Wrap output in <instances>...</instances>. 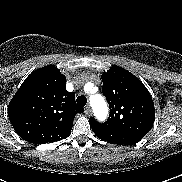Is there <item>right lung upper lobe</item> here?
I'll return each mask as SVG.
<instances>
[{
    "label": "right lung upper lobe",
    "instance_id": "obj_1",
    "mask_svg": "<svg viewBox=\"0 0 182 182\" xmlns=\"http://www.w3.org/2000/svg\"><path fill=\"white\" fill-rule=\"evenodd\" d=\"M75 94L66 90V77L53 65L33 71L8 105L16 133L25 141L44 144L67 138L77 113Z\"/></svg>",
    "mask_w": 182,
    "mask_h": 182
}]
</instances>
